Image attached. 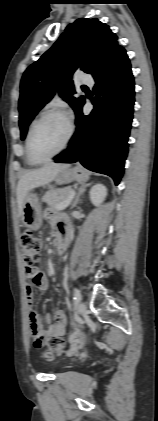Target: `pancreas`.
<instances>
[{
    "label": "pancreas",
    "mask_w": 158,
    "mask_h": 421,
    "mask_svg": "<svg viewBox=\"0 0 158 421\" xmlns=\"http://www.w3.org/2000/svg\"><path fill=\"white\" fill-rule=\"evenodd\" d=\"M72 189L70 187L63 189H52L46 192L42 201L46 202L50 207L57 209L58 206L64 204L68 199Z\"/></svg>",
    "instance_id": "obj_1"
}]
</instances>
